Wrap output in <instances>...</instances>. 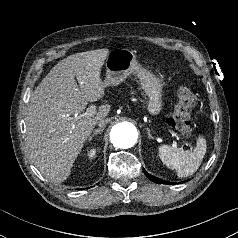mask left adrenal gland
<instances>
[{"label":"left adrenal gland","mask_w":238,"mask_h":238,"mask_svg":"<svg viewBox=\"0 0 238 238\" xmlns=\"http://www.w3.org/2000/svg\"><path fill=\"white\" fill-rule=\"evenodd\" d=\"M146 130H147V134H148L149 139H153V137L150 133V129L148 127H146Z\"/></svg>","instance_id":"obj_1"}]
</instances>
